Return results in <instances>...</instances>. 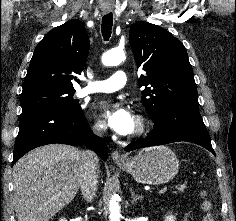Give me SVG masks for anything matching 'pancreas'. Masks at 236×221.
I'll list each match as a JSON object with an SVG mask.
<instances>
[{
  "label": "pancreas",
  "instance_id": "obj_1",
  "mask_svg": "<svg viewBox=\"0 0 236 221\" xmlns=\"http://www.w3.org/2000/svg\"><path fill=\"white\" fill-rule=\"evenodd\" d=\"M185 188H186V185H182L181 187H178L177 189L179 192H183Z\"/></svg>",
  "mask_w": 236,
  "mask_h": 221
}]
</instances>
